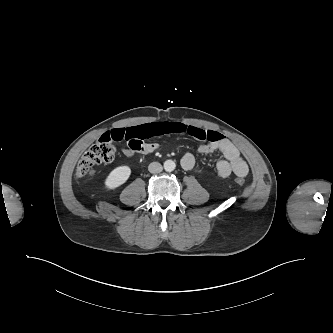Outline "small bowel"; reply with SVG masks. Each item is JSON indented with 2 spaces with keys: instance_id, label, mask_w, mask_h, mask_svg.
I'll return each instance as SVG.
<instances>
[{
  "instance_id": "1",
  "label": "small bowel",
  "mask_w": 333,
  "mask_h": 333,
  "mask_svg": "<svg viewBox=\"0 0 333 333\" xmlns=\"http://www.w3.org/2000/svg\"><path fill=\"white\" fill-rule=\"evenodd\" d=\"M165 134H188L196 139L206 141L199 145L200 154L220 152L224 159L216 164L219 176L226 178L231 174L245 177L249 167L241 157L237 147L225 136L217 131L206 130L196 126L177 122H154L138 126L113 129L102 137L111 141H125L127 146L122 149L125 155L131 157L135 153H150L159 147L155 137ZM181 165L185 170H192L195 166V157L186 153L181 158Z\"/></svg>"
}]
</instances>
